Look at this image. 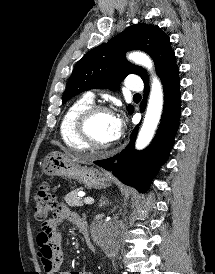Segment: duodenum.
Wrapping results in <instances>:
<instances>
[{
    "label": "duodenum",
    "instance_id": "obj_1",
    "mask_svg": "<svg viewBox=\"0 0 215 274\" xmlns=\"http://www.w3.org/2000/svg\"><path fill=\"white\" fill-rule=\"evenodd\" d=\"M81 233L83 234L84 238H85V241L87 243V245L92 249L94 250V247H93V244L91 242V239H90V236H89V232L87 230V227H84L83 229L80 230Z\"/></svg>",
    "mask_w": 215,
    "mask_h": 274
}]
</instances>
